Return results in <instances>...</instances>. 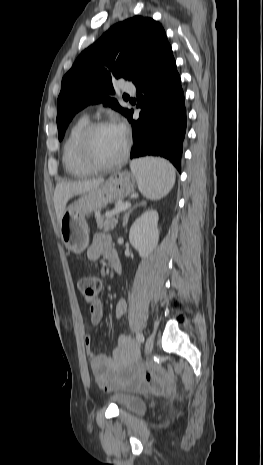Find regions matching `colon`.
<instances>
[{
  "mask_svg": "<svg viewBox=\"0 0 263 465\" xmlns=\"http://www.w3.org/2000/svg\"><path fill=\"white\" fill-rule=\"evenodd\" d=\"M101 288V282L96 277H83L78 281V289L84 301L92 304L96 301Z\"/></svg>",
  "mask_w": 263,
  "mask_h": 465,
  "instance_id": "colon-1",
  "label": "colon"
}]
</instances>
